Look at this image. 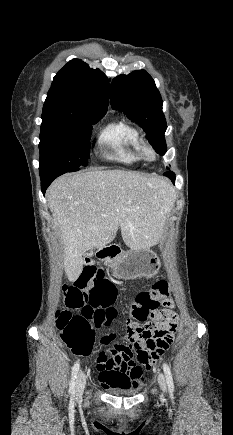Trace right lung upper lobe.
<instances>
[{
    "label": "right lung upper lobe",
    "instance_id": "right-lung-upper-lobe-1",
    "mask_svg": "<svg viewBox=\"0 0 233 435\" xmlns=\"http://www.w3.org/2000/svg\"><path fill=\"white\" fill-rule=\"evenodd\" d=\"M108 101L109 82L105 74L73 59L53 78L42 119L105 115Z\"/></svg>",
    "mask_w": 233,
    "mask_h": 435
}]
</instances>
